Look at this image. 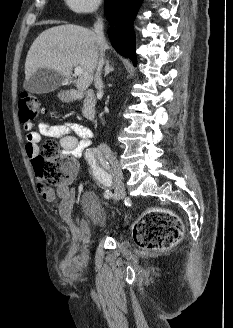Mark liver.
Listing matches in <instances>:
<instances>
[{"mask_svg": "<svg viewBox=\"0 0 233 328\" xmlns=\"http://www.w3.org/2000/svg\"><path fill=\"white\" fill-rule=\"evenodd\" d=\"M109 49L100 43L96 33L73 24L55 26L43 31L31 45L25 62L26 80L40 68H48L69 78L73 67H81L76 87L85 91L92 83L98 57Z\"/></svg>", "mask_w": 233, "mask_h": 328, "instance_id": "liver-1", "label": "liver"}]
</instances>
